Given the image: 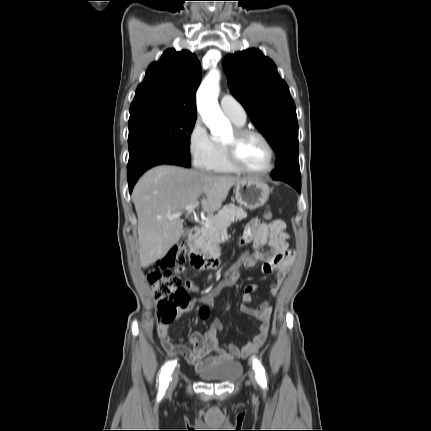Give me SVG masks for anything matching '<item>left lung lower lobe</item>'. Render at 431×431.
<instances>
[{
	"mask_svg": "<svg viewBox=\"0 0 431 431\" xmlns=\"http://www.w3.org/2000/svg\"><path fill=\"white\" fill-rule=\"evenodd\" d=\"M278 180H282V181L290 184L291 186H293L298 191V193H300V190H301V180L300 179L295 180V179H289V178H280Z\"/></svg>",
	"mask_w": 431,
	"mask_h": 431,
	"instance_id": "obj_1",
	"label": "left lung lower lobe"
}]
</instances>
